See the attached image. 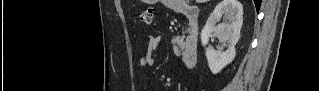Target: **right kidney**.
Masks as SVG:
<instances>
[{
	"instance_id": "right-kidney-1",
	"label": "right kidney",
	"mask_w": 319,
	"mask_h": 91,
	"mask_svg": "<svg viewBox=\"0 0 319 91\" xmlns=\"http://www.w3.org/2000/svg\"><path fill=\"white\" fill-rule=\"evenodd\" d=\"M223 17V22L217 24ZM243 23V6L238 0H222L208 18L206 25L201 31V43L206 46L211 33L220 42H228L225 52L207 50L206 58L208 66L213 74L220 72L227 64L231 63L236 55L235 45L240 38V30ZM223 47L219 48L220 50Z\"/></svg>"
}]
</instances>
